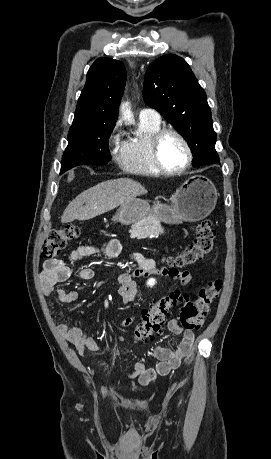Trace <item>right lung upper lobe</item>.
Segmentation results:
<instances>
[{"label": "right lung upper lobe", "instance_id": "obj_1", "mask_svg": "<svg viewBox=\"0 0 271 459\" xmlns=\"http://www.w3.org/2000/svg\"><path fill=\"white\" fill-rule=\"evenodd\" d=\"M125 82L126 70L122 62L111 58H98L87 73L75 118H117Z\"/></svg>", "mask_w": 271, "mask_h": 459}]
</instances>
